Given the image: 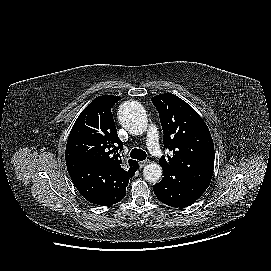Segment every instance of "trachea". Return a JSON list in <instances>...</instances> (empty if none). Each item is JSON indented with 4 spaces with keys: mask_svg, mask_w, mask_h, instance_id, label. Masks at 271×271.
<instances>
[{
    "mask_svg": "<svg viewBox=\"0 0 271 271\" xmlns=\"http://www.w3.org/2000/svg\"><path fill=\"white\" fill-rule=\"evenodd\" d=\"M130 157L133 158V159L143 161V160L146 159L147 154H146L145 151H143L141 149L134 148L130 152Z\"/></svg>",
    "mask_w": 271,
    "mask_h": 271,
    "instance_id": "obj_1",
    "label": "trachea"
}]
</instances>
